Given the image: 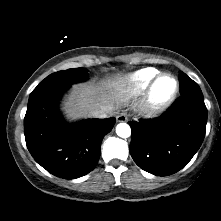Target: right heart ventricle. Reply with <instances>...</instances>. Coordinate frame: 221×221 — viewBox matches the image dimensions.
I'll return each mask as SVG.
<instances>
[{"label":"right heart ventricle","instance_id":"e07e8e85","mask_svg":"<svg viewBox=\"0 0 221 221\" xmlns=\"http://www.w3.org/2000/svg\"><path fill=\"white\" fill-rule=\"evenodd\" d=\"M158 74L154 68H143L129 74L117 84V91L124 97H133L143 92Z\"/></svg>","mask_w":221,"mask_h":221}]
</instances>
